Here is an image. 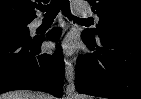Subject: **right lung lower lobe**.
Segmentation results:
<instances>
[{"instance_id": "98d812e1", "label": "right lung lower lobe", "mask_w": 141, "mask_h": 99, "mask_svg": "<svg viewBox=\"0 0 141 99\" xmlns=\"http://www.w3.org/2000/svg\"><path fill=\"white\" fill-rule=\"evenodd\" d=\"M60 29H53L48 39H58ZM43 37L16 38L0 36V94L18 90H40L56 97L63 95L65 76L61 48L55 55L41 53Z\"/></svg>"}]
</instances>
